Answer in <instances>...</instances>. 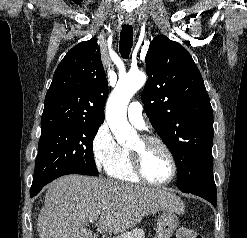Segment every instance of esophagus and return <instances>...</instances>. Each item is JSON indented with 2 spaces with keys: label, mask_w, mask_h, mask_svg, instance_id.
Listing matches in <instances>:
<instances>
[{
  "label": "esophagus",
  "mask_w": 247,
  "mask_h": 238,
  "mask_svg": "<svg viewBox=\"0 0 247 238\" xmlns=\"http://www.w3.org/2000/svg\"><path fill=\"white\" fill-rule=\"evenodd\" d=\"M126 23L131 25V24H133V20L128 19V20H126Z\"/></svg>",
  "instance_id": "1"
}]
</instances>
